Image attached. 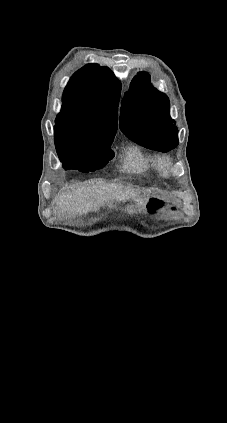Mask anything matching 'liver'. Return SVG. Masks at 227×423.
I'll return each mask as SVG.
<instances>
[{
	"instance_id": "obj_1",
	"label": "liver",
	"mask_w": 227,
	"mask_h": 423,
	"mask_svg": "<svg viewBox=\"0 0 227 423\" xmlns=\"http://www.w3.org/2000/svg\"><path fill=\"white\" fill-rule=\"evenodd\" d=\"M133 198L139 206L146 204L144 198H139L135 188H127L122 184H101V186H76L68 188L56 204L57 210L84 215L89 211L100 210L106 200H117V202H126Z\"/></svg>"
}]
</instances>
